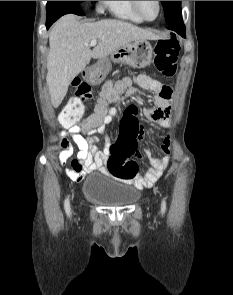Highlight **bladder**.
Returning a JSON list of instances; mask_svg holds the SVG:
<instances>
[{
  "label": "bladder",
  "mask_w": 233,
  "mask_h": 295,
  "mask_svg": "<svg viewBox=\"0 0 233 295\" xmlns=\"http://www.w3.org/2000/svg\"><path fill=\"white\" fill-rule=\"evenodd\" d=\"M82 191L87 200L108 207H127L140 197V191L133 185L101 174L89 176Z\"/></svg>",
  "instance_id": "31cf9c89"
}]
</instances>
